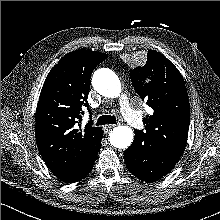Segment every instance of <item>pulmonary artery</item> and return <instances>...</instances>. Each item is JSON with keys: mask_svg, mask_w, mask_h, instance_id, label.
Wrapping results in <instances>:
<instances>
[{"mask_svg": "<svg viewBox=\"0 0 220 220\" xmlns=\"http://www.w3.org/2000/svg\"><path fill=\"white\" fill-rule=\"evenodd\" d=\"M120 110L125 120L134 128L140 129L143 126L141 115L130 104L126 95L120 99Z\"/></svg>", "mask_w": 220, "mask_h": 220, "instance_id": "1", "label": "pulmonary artery"}]
</instances>
